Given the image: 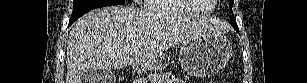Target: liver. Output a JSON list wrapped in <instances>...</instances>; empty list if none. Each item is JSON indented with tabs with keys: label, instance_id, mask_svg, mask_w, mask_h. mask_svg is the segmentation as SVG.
Returning a JSON list of instances; mask_svg holds the SVG:
<instances>
[{
	"label": "liver",
	"instance_id": "6515ba94",
	"mask_svg": "<svg viewBox=\"0 0 307 83\" xmlns=\"http://www.w3.org/2000/svg\"><path fill=\"white\" fill-rule=\"evenodd\" d=\"M218 21L195 14H160L106 7L76 21L69 33L66 83H81L90 69L111 71L144 62L180 42L220 36Z\"/></svg>",
	"mask_w": 307,
	"mask_h": 83
}]
</instances>
